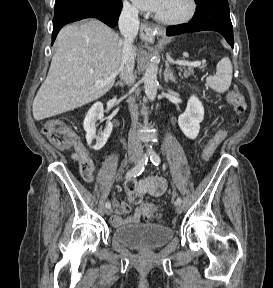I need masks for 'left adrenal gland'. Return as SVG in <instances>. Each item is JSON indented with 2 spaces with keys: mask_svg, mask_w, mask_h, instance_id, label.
<instances>
[{
  "mask_svg": "<svg viewBox=\"0 0 273 288\" xmlns=\"http://www.w3.org/2000/svg\"><path fill=\"white\" fill-rule=\"evenodd\" d=\"M164 80L168 82V80L172 82H176V77L174 76V71H172L169 67L168 61L165 63V71H164Z\"/></svg>",
  "mask_w": 273,
  "mask_h": 288,
  "instance_id": "1",
  "label": "left adrenal gland"
}]
</instances>
